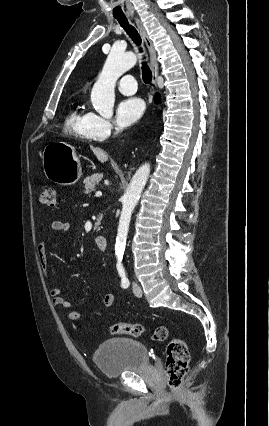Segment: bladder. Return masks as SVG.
I'll use <instances>...</instances> for the list:
<instances>
[{"mask_svg": "<svg viewBox=\"0 0 269 426\" xmlns=\"http://www.w3.org/2000/svg\"><path fill=\"white\" fill-rule=\"evenodd\" d=\"M93 362L107 377L136 371L149 365L146 347L139 341L113 337L101 343L93 353Z\"/></svg>", "mask_w": 269, "mask_h": 426, "instance_id": "1", "label": "bladder"}]
</instances>
